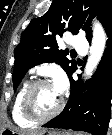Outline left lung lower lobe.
Returning a JSON list of instances; mask_svg holds the SVG:
<instances>
[{"mask_svg": "<svg viewBox=\"0 0 112 135\" xmlns=\"http://www.w3.org/2000/svg\"><path fill=\"white\" fill-rule=\"evenodd\" d=\"M105 31L108 36L106 49L95 74L85 83L79 84L72 79L76 67L69 75L71 92L65 108L43 127L106 135L112 98V20Z\"/></svg>", "mask_w": 112, "mask_h": 135, "instance_id": "0a47b994", "label": "left lung lower lobe"}]
</instances>
